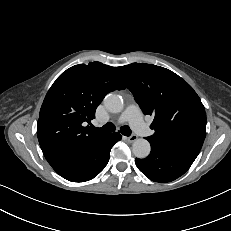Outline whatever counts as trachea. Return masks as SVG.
<instances>
[{"label": "trachea", "mask_w": 231, "mask_h": 231, "mask_svg": "<svg viewBox=\"0 0 231 231\" xmlns=\"http://www.w3.org/2000/svg\"><path fill=\"white\" fill-rule=\"evenodd\" d=\"M98 130L102 131V132H113L115 130V126L113 123L109 122V123L105 124L103 127L98 128ZM120 132L125 136L131 135V129L127 125L122 126L120 128Z\"/></svg>", "instance_id": "3493384b"}]
</instances>
